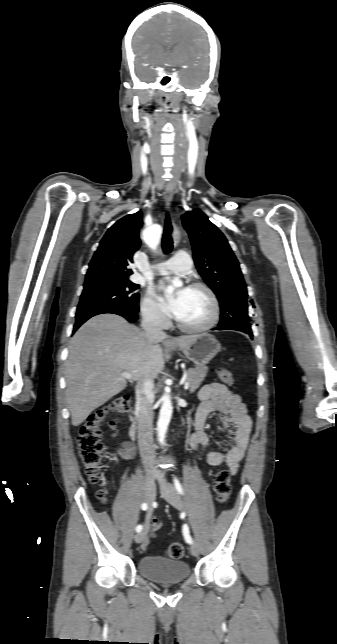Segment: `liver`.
<instances>
[{"instance_id": "1", "label": "liver", "mask_w": 337, "mask_h": 644, "mask_svg": "<svg viewBox=\"0 0 337 644\" xmlns=\"http://www.w3.org/2000/svg\"><path fill=\"white\" fill-rule=\"evenodd\" d=\"M196 339L197 335H187L150 340L145 332L115 314L89 319L72 337L65 365L72 425H80L95 409L123 391L128 380L156 378L172 348L186 347ZM159 342L165 347V355ZM123 372L130 373L131 379L124 378Z\"/></svg>"}]
</instances>
